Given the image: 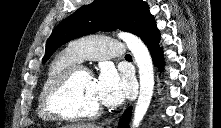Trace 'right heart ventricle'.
Returning <instances> with one entry per match:
<instances>
[{"mask_svg": "<svg viewBox=\"0 0 221 128\" xmlns=\"http://www.w3.org/2000/svg\"><path fill=\"white\" fill-rule=\"evenodd\" d=\"M81 60L78 58L77 54L70 48L67 47L64 50L58 52L50 61L47 66L46 73L40 87L39 95L37 98V113L38 115L46 120L52 119L51 116L47 115L43 110L42 98L45 89L49 84L60 76L66 69L73 65H78Z\"/></svg>", "mask_w": 221, "mask_h": 128, "instance_id": "e07e8e85", "label": "right heart ventricle"}]
</instances>
